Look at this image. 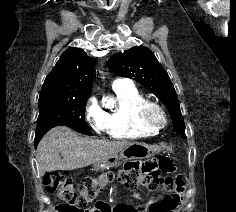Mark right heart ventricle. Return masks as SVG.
Segmentation results:
<instances>
[{
	"instance_id": "1",
	"label": "right heart ventricle",
	"mask_w": 236,
	"mask_h": 212,
	"mask_svg": "<svg viewBox=\"0 0 236 212\" xmlns=\"http://www.w3.org/2000/svg\"><path fill=\"white\" fill-rule=\"evenodd\" d=\"M112 89L117 105L114 109L104 112L107 135L118 140L155 135L157 131L144 125L140 120V110L148 101L147 97L130 82Z\"/></svg>"
}]
</instances>
